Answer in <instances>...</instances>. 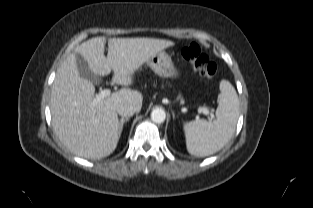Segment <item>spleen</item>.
<instances>
[{"instance_id":"spleen-1","label":"spleen","mask_w":313,"mask_h":208,"mask_svg":"<svg viewBox=\"0 0 313 208\" xmlns=\"http://www.w3.org/2000/svg\"><path fill=\"white\" fill-rule=\"evenodd\" d=\"M216 120H196L184 124L186 147L191 155L205 157L221 150L232 138L239 117V99L227 80L220 82Z\"/></svg>"}]
</instances>
